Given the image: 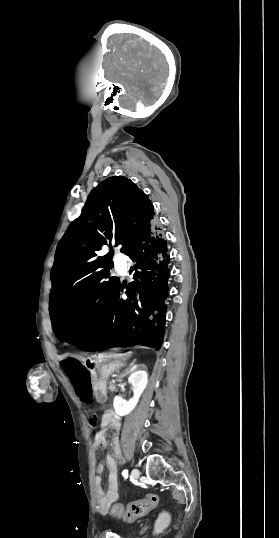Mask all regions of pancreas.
I'll return each mask as SVG.
<instances>
[{
  "label": "pancreas",
  "instance_id": "cf45deb5",
  "mask_svg": "<svg viewBox=\"0 0 279 538\" xmlns=\"http://www.w3.org/2000/svg\"><path fill=\"white\" fill-rule=\"evenodd\" d=\"M109 384V392H114V388H118V383H115L113 379H110L108 381Z\"/></svg>",
  "mask_w": 279,
  "mask_h": 538
}]
</instances>
